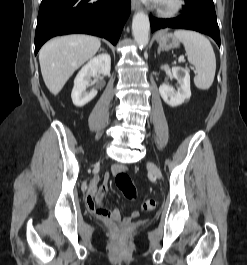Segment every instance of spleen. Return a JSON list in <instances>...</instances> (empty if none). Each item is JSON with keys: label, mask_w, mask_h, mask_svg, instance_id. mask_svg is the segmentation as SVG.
<instances>
[{"label": "spleen", "mask_w": 247, "mask_h": 265, "mask_svg": "<svg viewBox=\"0 0 247 265\" xmlns=\"http://www.w3.org/2000/svg\"><path fill=\"white\" fill-rule=\"evenodd\" d=\"M174 36L183 43L188 61L196 68L195 86L200 90H208L216 71V58L210 41L190 30H176Z\"/></svg>", "instance_id": "3e777b00"}]
</instances>
